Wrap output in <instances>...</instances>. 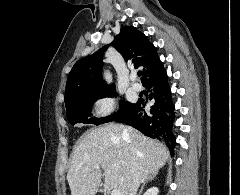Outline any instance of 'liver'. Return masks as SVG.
Here are the masks:
<instances>
[{
	"mask_svg": "<svg viewBox=\"0 0 240 195\" xmlns=\"http://www.w3.org/2000/svg\"><path fill=\"white\" fill-rule=\"evenodd\" d=\"M168 157L170 153L166 145L130 125H99L83 133L73 153L67 173L71 195H95L100 187L101 175L105 177L103 185L106 191L119 189L121 195H129L135 171L145 181L146 177L157 173L165 165Z\"/></svg>",
	"mask_w": 240,
	"mask_h": 195,
	"instance_id": "6515ba94",
	"label": "liver"
}]
</instances>
